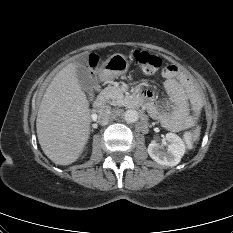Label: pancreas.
I'll list each match as a JSON object with an SVG mask.
<instances>
[{
  "mask_svg": "<svg viewBox=\"0 0 233 233\" xmlns=\"http://www.w3.org/2000/svg\"><path fill=\"white\" fill-rule=\"evenodd\" d=\"M102 94L107 98L108 102L114 106H128L129 97L123 94L119 86H108L102 90Z\"/></svg>",
  "mask_w": 233,
  "mask_h": 233,
  "instance_id": "obj_1",
  "label": "pancreas"
}]
</instances>
